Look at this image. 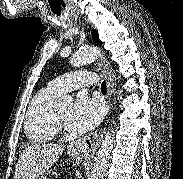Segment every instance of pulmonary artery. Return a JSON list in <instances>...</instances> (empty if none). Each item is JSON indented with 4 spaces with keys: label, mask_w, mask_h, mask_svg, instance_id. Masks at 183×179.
I'll return each instance as SVG.
<instances>
[{
    "label": "pulmonary artery",
    "mask_w": 183,
    "mask_h": 179,
    "mask_svg": "<svg viewBox=\"0 0 183 179\" xmlns=\"http://www.w3.org/2000/svg\"><path fill=\"white\" fill-rule=\"evenodd\" d=\"M97 82L96 75L89 71H74L52 80L48 87L58 94L78 89L84 86H90Z\"/></svg>",
    "instance_id": "pulmonary-artery-1"
}]
</instances>
